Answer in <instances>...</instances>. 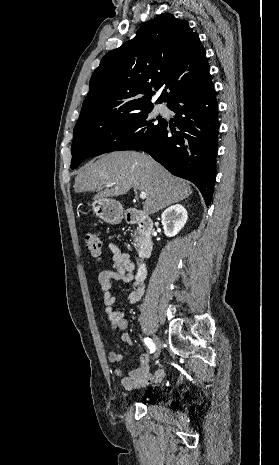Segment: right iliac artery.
Returning a JSON list of instances; mask_svg holds the SVG:
<instances>
[{
	"mask_svg": "<svg viewBox=\"0 0 279 465\" xmlns=\"http://www.w3.org/2000/svg\"><path fill=\"white\" fill-rule=\"evenodd\" d=\"M144 342L150 349L151 353L155 351V345L149 338H144Z\"/></svg>",
	"mask_w": 279,
	"mask_h": 465,
	"instance_id": "82829eb1",
	"label": "right iliac artery"
}]
</instances>
